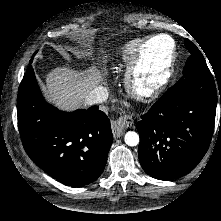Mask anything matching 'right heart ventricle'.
I'll return each instance as SVG.
<instances>
[{
	"label": "right heart ventricle",
	"mask_w": 221,
	"mask_h": 221,
	"mask_svg": "<svg viewBox=\"0 0 221 221\" xmlns=\"http://www.w3.org/2000/svg\"><path fill=\"white\" fill-rule=\"evenodd\" d=\"M141 41V39H135L119 44L114 55V64H128L129 61L134 57Z\"/></svg>",
	"instance_id": "e07e8e85"
}]
</instances>
